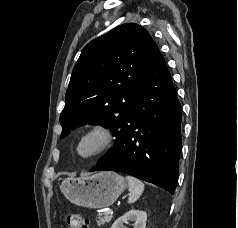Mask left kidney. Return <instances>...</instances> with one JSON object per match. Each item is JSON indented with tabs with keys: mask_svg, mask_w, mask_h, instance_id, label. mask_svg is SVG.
<instances>
[{
	"mask_svg": "<svg viewBox=\"0 0 238 228\" xmlns=\"http://www.w3.org/2000/svg\"><path fill=\"white\" fill-rule=\"evenodd\" d=\"M128 221L134 222V228H146L147 213L145 211L130 210L119 217L111 228H126L124 224L128 223Z\"/></svg>",
	"mask_w": 238,
	"mask_h": 228,
	"instance_id": "obj_1",
	"label": "left kidney"
}]
</instances>
